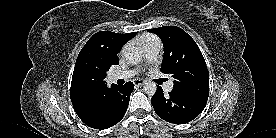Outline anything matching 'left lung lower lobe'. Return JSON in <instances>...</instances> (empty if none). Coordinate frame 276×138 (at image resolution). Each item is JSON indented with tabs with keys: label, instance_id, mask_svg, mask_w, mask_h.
<instances>
[{
	"label": "left lung lower lobe",
	"instance_id": "left-lung-lower-lobe-1",
	"mask_svg": "<svg viewBox=\"0 0 276 138\" xmlns=\"http://www.w3.org/2000/svg\"><path fill=\"white\" fill-rule=\"evenodd\" d=\"M156 114L174 124H185L195 119L205 108L207 100L171 91L164 95L160 86L151 99Z\"/></svg>",
	"mask_w": 276,
	"mask_h": 138
}]
</instances>
